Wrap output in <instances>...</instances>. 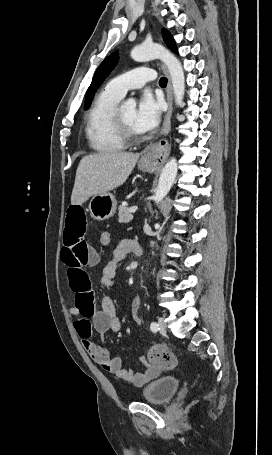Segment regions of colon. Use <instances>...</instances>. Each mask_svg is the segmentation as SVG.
Masks as SVG:
<instances>
[{
    "label": "colon",
    "instance_id": "obj_1",
    "mask_svg": "<svg viewBox=\"0 0 272 455\" xmlns=\"http://www.w3.org/2000/svg\"><path fill=\"white\" fill-rule=\"evenodd\" d=\"M111 242V234L107 230L100 233V243L103 246H108ZM147 357L149 362L157 364L163 368L171 369L177 365L176 356L166 347L162 345L154 346L151 348Z\"/></svg>",
    "mask_w": 272,
    "mask_h": 455
}]
</instances>
